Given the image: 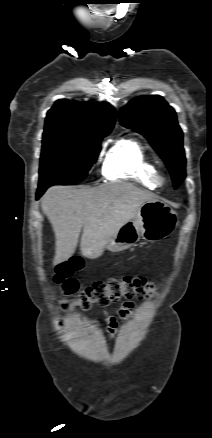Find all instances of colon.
Returning a JSON list of instances; mask_svg holds the SVG:
<instances>
[{
	"mask_svg": "<svg viewBox=\"0 0 212 438\" xmlns=\"http://www.w3.org/2000/svg\"><path fill=\"white\" fill-rule=\"evenodd\" d=\"M82 266V260L75 257L57 264L54 268V282L61 286L64 294L69 297L64 302L65 308L79 307L87 310L92 304L106 306L119 301L121 298L143 299L150 297L155 291V286L144 277L125 276L94 282L77 294L78 285L72 275L80 270Z\"/></svg>",
	"mask_w": 212,
	"mask_h": 438,
	"instance_id": "colon-1",
	"label": "colon"
}]
</instances>
